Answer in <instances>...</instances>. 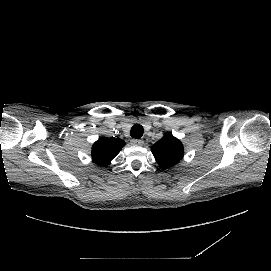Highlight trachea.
<instances>
[{
	"mask_svg": "<svg viewBox=\"0 0 271 271\" xmlns=\"http://www.w3.org/2000/svg\"><path fill=\"white\" fill-rule=\"evenodd\" d=\"M144 129L140 124H135L132 126L130 135L134 138H141L143 135Z\"/></svg>",
	"mask_w": 271,
	"mask_h": 271,
	"instance_id": "trachea-1",
	"label": "trachea"
}]
</instances>
